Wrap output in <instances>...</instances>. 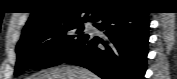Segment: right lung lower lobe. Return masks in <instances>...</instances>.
Instances as JSON below:
<instances>
[{
	"instance_id": "right-lung-lower-lobe-1",
	"label": "right lung lower lobe",
	"mask_w": 177,
	"mask_h": 79,
	"mask_svg": "<svg viewBox=\"0 0 177 79\" xmlns=\"http://www.w3.org/2000/svg\"><path fill=\"white\" fill-rule=\"evenodd\" d=\"M105 37H88L62 63L76 64L103 79H144L148 53V12L126 6L101 10L92 20Z\"/></svg>"
}]
</instances>
